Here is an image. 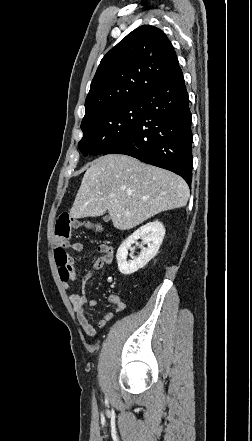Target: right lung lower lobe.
Segmentation results:
<instances>
[{"label": "right lung lower lobe", "mask_w": 252, "mask_h": 441, "mask_svg": "<svg viewBox=\"0 0 252 441\" xmlns=\"http://www.w3.org/2000/svg\"><path fill=\"white\" fill-rule=\"evenodd\" d=\"M137 125L106 154H125L192 180V131L189 98L178 67L141 98Z\"/></svg>", "instance_id": "right-lung-lower-lobe-1"}]
</instances>
